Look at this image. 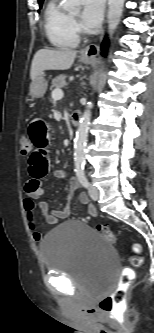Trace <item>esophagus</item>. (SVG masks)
I'll list each match as a JSON object with an SVG mask.
<instances>
[{"label":"esophagus","mask_w":154,"mask_h":333,"mask_svg":"<svg viewBox=\"0 0 154 333\" xmlns=\"http://www.w3.org/2000/svg\"><path fill=\"white\" fill-rule=\"evenodd\" d=\"M99 47L96 44H90L86 46L82 51L81 55L84 57H95L98 54Z\"/></svg>","instance_id":"34e87169"}]
</instances>
